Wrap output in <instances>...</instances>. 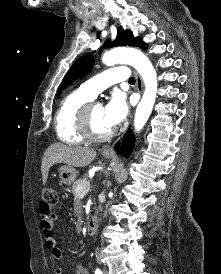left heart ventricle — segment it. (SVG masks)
I'll list each match as a JSON object with an SVG mask.
<instances>
[{"mask_svg": "<svg viewBox=\"0 0 221 274\" xmlns=\"http://www.w3.org/2000/svg\"><path fill=\"white\" fill-rule=\"evenodd\" d=\"M103 111L104 107L100 104L94 105L91 111L93 127L99 133H106L109 131V129L103 123Z\"/></svg>", "mask_w": 221, "mask_h": 274, "instance_id": "left-heart-ventricle-1", "label": "left heart ventricle"}]
</instances>
